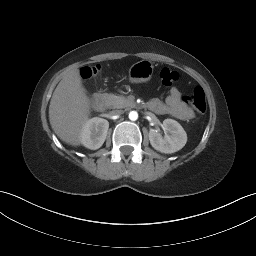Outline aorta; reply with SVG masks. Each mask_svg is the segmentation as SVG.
<instances>
[{"label": "aorta", "instance_id": "aorta-1", "mask_svg": "<svg viewBox=\"0 0 256 256\" xmlns=\"http://www.w3.org/2000/svg\"><path fill=\"white\" fill-rule=\"evenodd\" d=\"M129 119L131 121H136L138 119V113L136 111H131L129 113Z\"/></svg>", "mask_w": 256, "mask_h": 256}]
</instances>
